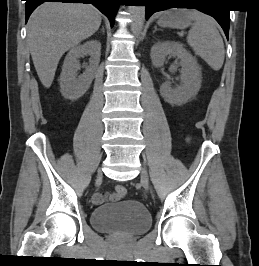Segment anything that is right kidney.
Wrapping results in <instances>:
<instances>
[{
    "label": "right kidney",
    "instance_id": "right-kidney-1",
    "mask_svg": "<svg viewBox=\"0 0 259 266\" xmlns=\"http://www.w3.org/2000/svg\"><path fill=\"white\" fill-rule=\"evenodd\" d=\"M90 56L89 65L85 72L77 78L79 58ZM101 43L98 40H90L73 47L67 54L62 72L60 74V88L62 95L70 100L82 97L89 89L100 62Z\"/></svg>",
    "mask_w": 259,
    "mask_h": 266
}]
</instances>
